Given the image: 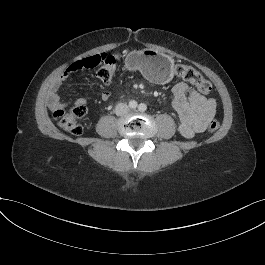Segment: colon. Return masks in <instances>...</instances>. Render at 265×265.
I'll return each instance as SVG.
<instances>
[{"mask_svg":"<svg viewBox=\"0 0 265 265\" xmlns=\"http://www.w3.org/2000/svg\"><path fill=\"white\" fill-rule=\"evenodd\" d=\"M119 55H108L106 53L95 54L90 57L83 58L74 62L69 66L67 72H75L86 68H98L97 76L99 79L108 83L112 80L116 73ZM175 74L191 83H193L199 92L207 94L211 91V84L206 80L200 72L188 65H177L175 67ZM86 114V107L84 105H76L70 109L57 108L54 111V117L58 124L73 135H79L82 132V126L79 119ZM219 123L213 120L208 125L209 132H215L219 128Z\"/></svg>","mask_w":265,"mask_h":265,"instance_id":"obj_1","label":"colon"}]
</instances>
